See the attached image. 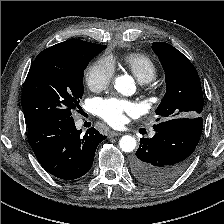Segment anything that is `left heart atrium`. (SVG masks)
Returning <instances> with one entry per match:
<instances>
[{
  "instance_id": "39dd6f15",
  "label": "left heart atrium",
  "mask_w": 224,
  "mask_h": 224,
  "mask_svg": "<svg viewBox=\"0 0 224 224\" xmlns=\"http://www.w3.org/2000/svg\"><path fill=\"white\" fill-rule=\"evenodd\" d=\"M137 111L133 102L110 98L96 103V113L111 126H119L126 114L132 115Z\"/></svg>"
}]
</instances>
